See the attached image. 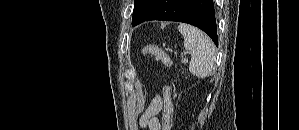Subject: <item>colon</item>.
Wrapping results in <instances>:
<instances>
[{"mask_svg":"<svg viewBox=\"0 0 299 130\" xmlns=\"http://www.w3.org/2000/svg\"><path fill=\"white\" fill-rule=\"evenodd\" d=\"M142 56L151 55L155 57L158 61L163 63L165 66H171V59L169 55L159 46L149 44L145 46L141 51ZM164 109L162 115V127L163 130H171L173 122V102L171 90L168 87L164 88Z\"/></svg>","mask_w":299,"mask_h":130,"instance_id":"1","label":"colon"}]
</instances>
